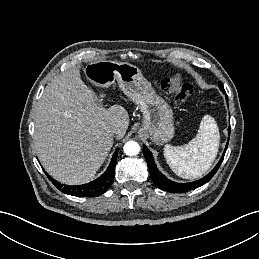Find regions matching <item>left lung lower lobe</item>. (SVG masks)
<instances>
[{
	"label": "left lung lower lobe",
	"instance_id": "obj_1",
	"mask_svg": "<svg viewBox=\"0 0 259 259\" xmlns=\"http://www.w3.org/2000/svg\"><path fill=\"white\" fill-rule=\"evenodd\" d=\"M226 96V101H228V97L226 95V92H223ZM230 127L228 128V133L230 134ZM228 147V142L226 145V148L224 150V153L220 159V161L217 163V165L214 167V169L205 177L194 181V182H190V183H177V182H173L171 180H169L168 178H166L155 166L154 161H153V157L151 152L149 151V149L144 145L143 148V154L144 157L146 159V162L148 164V168H149V172H150V176L153 180V182L155 183V185L162 190L168 191V192H172V193H183V192H187V191H191L194 190L204 184H206L207 182L210 181V179L214 176V174L217 172L218 168L220 167L225 152L227 150Z\"/></svg>",
	"mask_w": 259,
	"mask_h": 259
}]
</instances>
